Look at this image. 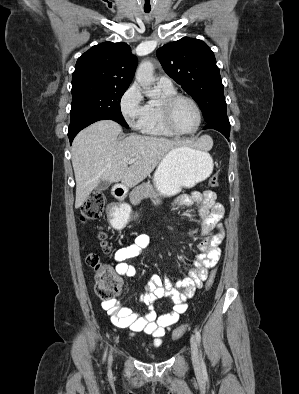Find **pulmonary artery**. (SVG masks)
<instances>
[{"mask_svg": "<svg viewBox=\"0 0 299 394\" xmlns=\"http://www.w3.org/2000/svg\"><path fill=\"white\" fill-rule=\"evenodd\" d=\"M158 84L164 87H173L172 80L165 75L158 78Z\"/></svg>", "mask_w": 299, "mask_h": 394, "instance_id": "obj_1", "label": "pulmonary artery"}]
</instances>
